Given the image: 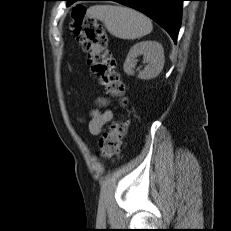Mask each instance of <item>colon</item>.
Returning <instances> with one entry per match:
<instances>
[{"instance_id":"5ec220e1","label":"colon","mask_w":231,"mask_h":231,"mask_svg":"<svg viewBox=\"0 0 231 231\" xmlns=\"http://www.w3.org/2000/svg\"><path fill=\"white\" fill-rule=\"evenodd\" d=\"M71 30L88 54V64L106 91L121 104H126L125 85L116 70V62L108 48L104 27L93 18L87 8L76 5L71 11ZM126 121H114L99 140V153L110 158L120 152L123 136L127 131Z\"/></svg>"}]
</instances>
